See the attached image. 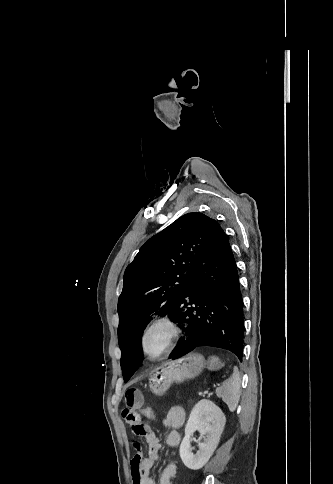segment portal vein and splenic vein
<instances>
[{
	"label": "portal vein and splenic vein",
	"mask_w": 333,
	"mask_h": 484,
	"mask_svg": "<svg viewBox=\"0 0 333 484\" xmlns=\"http://www.w3.org/2000/svg\"><path fill=\"white\" fill-rule=\"evenodd\" d=\"M203 394H204V391H200V392H199V395H200V396H201V395H203Z\"/></svg>",
	"instance_id": "portal-vein-and-splenic-vein-1"
}]
</instances>
